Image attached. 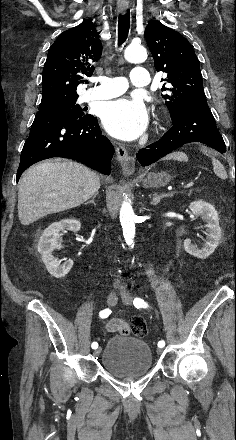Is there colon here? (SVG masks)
Returning a JSON list of instances; mask_svg holds the SVG:
<instances>
[{
    "mask_svg": "<svg viewBox=\"0 0 236 440\" xmlns=\"http://www.w3.org/2000/svg\"><path fill=\"white\" fill-rule=\"evenodd\" d=\"M129 334L144 337L147 334V326L142 317L136 316L130 321Z\"/></svg>",
    "mask_w": 236,
    "mask_h": 440,
    "instance_id": "1",
    "label": "colon"
}]
</instances>
